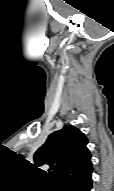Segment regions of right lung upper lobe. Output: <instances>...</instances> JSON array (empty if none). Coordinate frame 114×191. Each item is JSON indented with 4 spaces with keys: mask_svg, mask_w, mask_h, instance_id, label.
Here are the masks:
<instances>
[{
    "mask_svg": "<svg viewBox=\"0 0 114 191\" xmlns=\"http://www.w3.org/2000/svg\"><path fill=\"white\" fill-rule=\"evenodd\" d=\"M86 136L76 127L65 125L51 133L35 152V168L48 166L56 184L92 169ZM44 172V171H42ZM45 173V172H44Z\"/></svg>",
    "mask_w": 114,
    "mask_h": 191,
    "instance_id": "1",
    "label": "right lung upper lobe"
}]
</instances>
